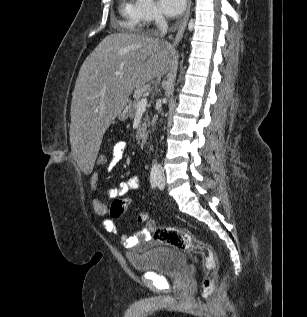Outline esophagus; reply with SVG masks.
Masks as SVG:
<instances>
[{
    "instance_id": "34e87169",
    "label": "esophagus",
    "mask_w": 307,
    "mask_h": 317,
    "mask_svg": "<svg viewBox=\"0 0 307 317\" xmlns=\"http://www.w3.org/2000/svg\"><path fill=\"white\" fill-rule=\"evenodd\" d=\"M190 10H191V0H187V9H186V13L180 23L178 32L175 36V39L173 41V45L176 46L183 38L187 23H188V19L190 16Z\"/></svg>"
}]
</instances>
